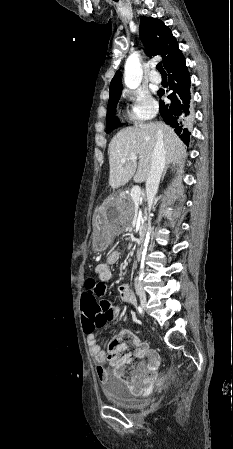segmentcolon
<instances>
[{"mask_svg":"<svg viewBox=\"0 0 233 449\" xmlns=\"http://www.w3.org/2000/svg\"><path fill=\"white\" fill-rule=\"evenodd\" d=\"M96 282V278L94 276H89L86 280L87 291L82 293V297H80V306L82 308V326L83 328H102L104 317H106V313L104 309L98 305L96 301V292H94L93 287ZM130 341V337L128 335H122L114 338L108 346V356L111 360H113L117 365L121 364L120 360H115V357L120 354L119 347L123 343H127Z\"/></svg>","mask_w":233,"mask_h":449,"instance_id":"5ec220e1","label":"colon"}]
</instances>
